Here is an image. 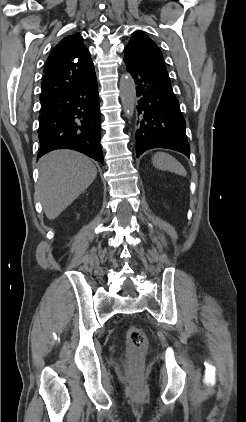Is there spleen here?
I'll return each mask as SVG.
<instances>
[{
  "label": "spleen",
  "mask_w": 246,
  "mask_h": 422,
  "mask_svg": "<svg viewBox=\"0 0 246 422\" xmlns=\"http://www.w3.org/2000/svg\"><path fill=\"white\" fill-rule=\"evenodd\" d=\"M152 163L158 169L174 172L181 176H186V170L183 165L168 153H156L152 158Z\"/></svg>",
  "instance_id": "spleen-1"
}]
</instances>
